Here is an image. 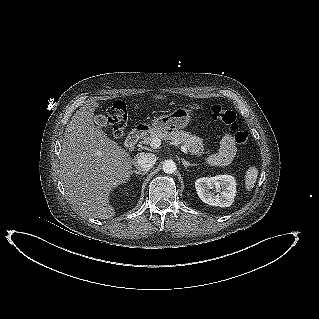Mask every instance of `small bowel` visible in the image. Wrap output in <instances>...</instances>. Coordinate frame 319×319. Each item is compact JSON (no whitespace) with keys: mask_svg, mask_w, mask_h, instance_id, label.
I'll return each mask as SVG.
<instances>
[{"mask_svg":"<svg viewBox=\"0 0 319 319\" xmlns=\"http://www.w3.org/2000/svg\"><path fill=\"white\" fill-rule=\"evenodd\" d=\"M237 148L234 138L230 134L224 135L217 152L207 158V162L213 166L228 165L234 158Z\"/></svg>","mask_w":319,"mask_h":319,"instance_id":"c3829d8e","label":"small bowel"}]
</instances>
